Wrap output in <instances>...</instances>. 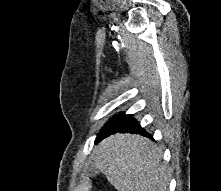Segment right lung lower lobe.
Returning <instances> with one entry per match:
<instances>
[{
	"label": "right lung lower lobe",
	"instance_id": "right-lung-lower-lobe-1",
	"mask_svg": "<svg viewBox=\"0 0 221 191\" xmlns=\"http://www.w3.org/2000/svg\"><path fill=\"white\" fill-rule=\"evenodd\" d=\"M117 132L141 134L153 139L152 136L149 135L144 129H141L140 124L132 117V115H125L124 113L120 112L109 119V121L104 125L101 133L97 136L95 143H98L105 137Z\"/></svg>",
	"mask_w": 221,
	"mask_h": 191
}]
</instances>
